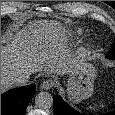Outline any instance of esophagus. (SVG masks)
<instances>
[{
    "instance_id": "34e87169",
    "label": "esophagus",
    "mask_w": 115,
    "mask_h": 115,
    "mask_svg": "<svg viewBox=\"0 0 115 115\" xmlns=\"http://www.w3.org/2000/svg\"><path fill=\"white\" fill-rule=\"evenodd\" d=\"M53 86H54V81L51 80V79H48V80H45L41 84V89H43V90H50Z\"/></svg>"
}]
</instances>
